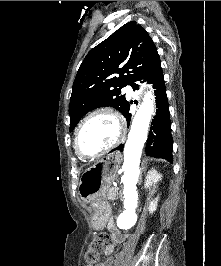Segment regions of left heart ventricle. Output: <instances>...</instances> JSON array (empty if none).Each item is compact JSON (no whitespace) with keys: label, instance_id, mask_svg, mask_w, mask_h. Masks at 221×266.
I'll use <instances>...</instances> for the list:
<instances>
[{"label":"left heart ventricle","instance_id":"left-heart-ventricle-1","mask_svg":"<svg viewBox=\"0 0 221 266\" xmlns=\"http://www.w3.org/2000/svg\"><path fill=\"white\" fill-rule=\"evenodd\" d=\"M117 135L116 120L108 114H99L85 125L80 145L86 153L93 154L109 146Z\"/></svg>","mask_w":221,"mask_h":266}]
</instances>
